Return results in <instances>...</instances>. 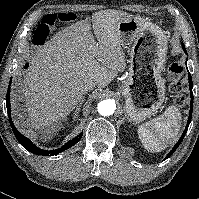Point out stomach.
<instances>
[{"mask_svg": "<svg viewBox=\"0 0 199 199\" xmlns=\"http://www.w3.org/2000/svg\"><path fill=\"white\" fill-rule=\"evenodd\" d=\"M120 42L131 47L129 73L121 86L125 112L134 122L154 115L165 99L167 38L156 24L127 16L118 24Z\"/></svg>", "mask_w": 199, "mask_h": 199, "instance_id": "1", "label": "stomach"}]
</instances>
